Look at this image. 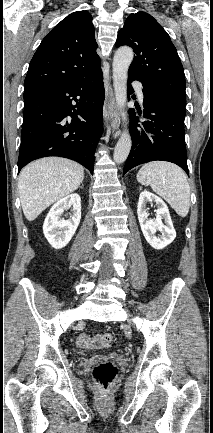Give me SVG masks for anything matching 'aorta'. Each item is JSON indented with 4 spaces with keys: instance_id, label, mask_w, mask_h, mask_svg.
Masks as SVG:
<instances>
[{
    "instance_id": "aorta-1",
    "label": "aorta",
    "mask_w": 213,
    "mask_h": 433,
    "mask_svg": "<svg viewBox=\"0 0 213 433\" xmlns=\"http://www.w3.org/2000/svg\"><path fill=\"white\" fill-rule=\"evenodd\" d=\"M133 57L134 53L130 47H120L114 54L112 64L116 103L120 109L123 123H125V130L121 134L113 154V159L118 164L126 161L132 146L131 137L127 128L128 116L124 111V107L127 101L128 69Z\"/></svg>"
}]
</instances>
